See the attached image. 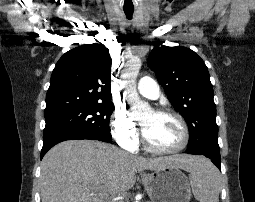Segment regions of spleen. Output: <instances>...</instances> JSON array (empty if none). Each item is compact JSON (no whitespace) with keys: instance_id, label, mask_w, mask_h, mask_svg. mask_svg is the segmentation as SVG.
Returning a JSON list of instances; mask_svg holds the SVG:
<instances>
[{"instance_id":"spleen-1","label":"spleen","mask_w":255,"mask_h":202,"mask_svg":"<svg viewBox=\"0 0 255 202\" xmlns=\"http://www.w3.org/2000/svg\"><path fill=\"white\" fill-rule=\"evenodd\" d=\"M189 179L199 202H219L220 173L209 160L202 158L190 171Z\"/></svg>"}]
</instances>
